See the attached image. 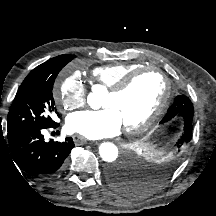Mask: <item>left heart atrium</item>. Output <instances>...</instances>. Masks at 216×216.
I'll list each match as a JSON object with an SVG mask.
<instances>
[{"label": "left heart atrium", "mask_w": 216, "mask_h": 216, "mask_svg": "<svg viewBox=\"0 0 216 216\" xmlns=\"http://www.w3.org/2000/svg\"><path fill=\"white\" fill-rule=\"evenodd\" d=\"M66 130L88 139H101L117 135L122 127L121 119L111 108L85 110L71 113L65 124Z\"/></svg>", "instance_id": "39dd6f15"}]
</instances>
